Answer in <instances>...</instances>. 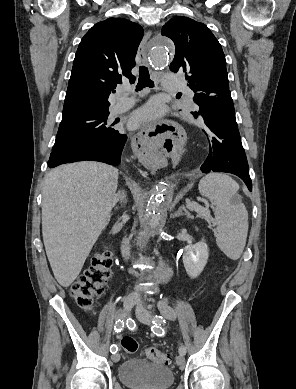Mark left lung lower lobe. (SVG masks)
Wrapping results in <instances>:
<instances>
[{
  "instance_id": "obj_1",
  "label": "left lung lower lobe",
  "mask_w": 296,
  "mask_h": 389,
  "mask_svg": "<svg viewBox=\"0 0 296 389\" xmlns=\"http://www.w3.org/2000/svg\"><path fill=\"white\" fill-rule=\"evenodd\" d=\"M202 109L209 152L201 166L204 173L228 172L239 176L252 191L249 166L241 143L230 92L208 98Z\"/></svg>"
}]
</instances>
